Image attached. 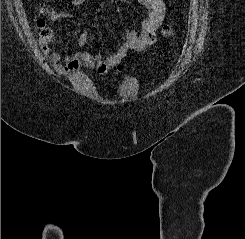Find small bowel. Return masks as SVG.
Masks as SVG:
<instances>
[{
  "label": "small bowel",
  "instance_id": "1",
  "mask_svg": "<svg viewBox=\"0 0 245 239\" xmlns=\"http://www.w3.org/2000/svg\"><path fill=\"white\" fill-rule=\"evenodd\" d=\"M142 4L146 11V17L140 24V30H127L123 38L121 46L116 52L107 58H103L99 54H93L87 51L75 52L69 55H61L57 52L47 53V58L54 70L62 76H70L78 73L83 68H88L96 71L100 76L107 75L111 70H115L114 75H117L122 70L121 62L126 57L127 53L133 51H144L156 41V31L161 26L166 6L163 0H137ZM85 0H72L71 4L79 6ZM73 17V14L68 10L51 9L47 20L49 22L59 21ZM88 34L82 33L78 39L81 47L88 43Z\"/></svg>",
  "mask_w": 245,
  "mask_h": 239
}]
</instances>
